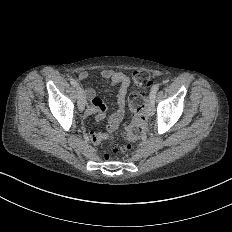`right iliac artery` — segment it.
I'll use <instances>...</instances> for the list:
<instances>
[{
    "label": "right iliac artery",
    "mask_w": 232,
    "mask_h": 232,
    "mask_svg": "<svg viewBox=\"0 0 232 232\" xmlns=\"http://www.w3.org/2000/svg\"><path fill=\"white\" fill-rule=\"evenodd\" d=\"M70 83H71L74 87L79 88V84L77 83L76 80L71 79V80H70Z\"/></svg>",
    "instance_id": "obj_1"
}]
</instances>
